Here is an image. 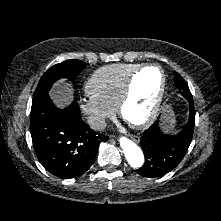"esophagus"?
<instances>
[{"mask_svg":"<svg viewBox=\"0 0 221 221\" xmlns=\"http://www.w3.org/2000/svg\"><path fill=\"white\" fill-rule=\"evenodd\" d=\"M129 137L136 143H138L140 141V138L136 135L130 134Z\"/></svg>","mask_w":221,"mask_h":221,"instance_id":"esophagus-1","label":"esophagus"}]
</instances>
